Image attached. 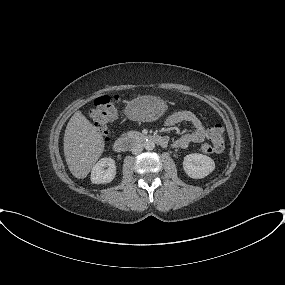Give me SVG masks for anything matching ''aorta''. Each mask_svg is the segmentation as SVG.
I'll return each instance as SVG.
<instances>
[{
  "mask_svg": "<svg viewBox=\"0 0 285 285\" xmlns=\"http://www.w3.org/2000/svg\"><path fill=\"white\" fill-rule=\"evenodd\" d=\"M143 146L146 150L151 151L155 148V143L151 140H147L144 142Z\"/></svg>",
  "mask_w": 285,
  "mask_h": 285,
  "instance_id": "1",
  "label": "aorta"
}]
</instances>
